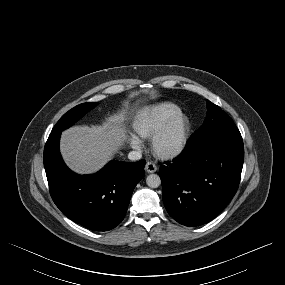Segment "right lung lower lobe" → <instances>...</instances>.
<instances>
[{"mask_svg": "<svg viewBox=\"0 0 285 285\" xmlns=\"http://www.w3.org/2000/svg\"><path fill=\"white\" fill-rule=\"evenodd\" d=\"M60 135L61 131H52L44 148V167L54 203L65 216L90 230L115 228L145 175V161H111L96 174L78 175L62 160Z\"/></svg>", "mask_w": 285, "mask_h": 285, "instance_id": "1", "label": "right lung lower lobe"}]
</instances>
